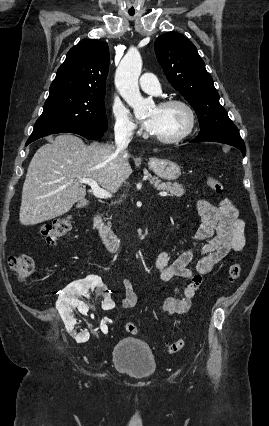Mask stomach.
Returning a JSON list of instances; mask_svg holds the SVG:
<instances>
[{
  "label": "stomach",
  "mask_w": 269,
  "mask_h": 426,
  "mask_svg": "<svg viewBox=\"0 0 269 426\" xmlns=\"http://www.w3.org/2000/svg\"><path fill=\"white\" fill-rule=\"evenodd\" d=\"M148 165L157 176L167 181L176 180L181 175L179 165L170 160L152 158Z\"/></svg>",
  "instance_id": "0dacf381"
}]
</instances>
